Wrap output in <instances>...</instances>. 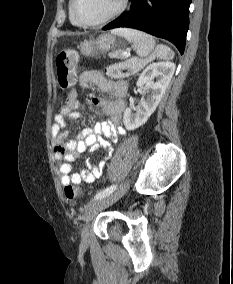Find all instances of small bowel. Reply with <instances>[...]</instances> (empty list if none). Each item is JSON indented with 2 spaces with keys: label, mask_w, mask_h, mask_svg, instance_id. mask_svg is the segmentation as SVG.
Listing matches in <instances>:
<instances>
[{
  "label": "small bowel",
  "mask_w": 233,
  "mask_h": 284,
  "mask_svg": "<svg viewBox=\"0 0 233 284\" xmlns=\"http://www.w3.org/2000/svg\"><path fill=\"white\" fill-rule=\"evenodd\" d=\"M94 85L101 91L110 93L113 98L93 97L92 103L102 109L107 115V120L96 124L93 127L84 128L75 139L67 140L68 132L65 130L66 118L78 119L80 117V103L76 92L73 91L59 113L55 115L54 125L51 130L54 157L62 161L59 166L61 183L64 186L79 185L82 182L92 183L102 174L105 163L112 157L113 148L104 138L116 139L120 135H125L126 131L120 120L125 108L122 99L126 91L124 82H111L107 80L99 71H84L79 78V86L88 88ZM104 148L107 151L105 158L96 166L84 169L81 172H72V162L87 150Z\"/></svg>",
  "instance_id": "small-bowel-1"
}]
</instances>
